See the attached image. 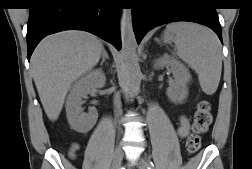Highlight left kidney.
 I'll return each instance as SVG.
<instances>
[{
  "label": "left kidney",
  "instance_id": "1",
  "mask_svg": "<svg viewBox=\"0 0 252 169\" xmlns=\"http://www.w3.org/2000/svg\"><path fill=\"white\" fill-rule=\"evenodd\" d=\"M164 61L171 65L173 76L175 78V84L167 91L168 96L174 102H181L187 97L188 94L186 82L189 78V74L187 69L178 62L169 61L167 57Z\"/></svg>",
  "mask_w": 252,
  "mask_h": 169
}]
</instances>
